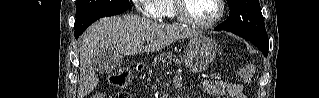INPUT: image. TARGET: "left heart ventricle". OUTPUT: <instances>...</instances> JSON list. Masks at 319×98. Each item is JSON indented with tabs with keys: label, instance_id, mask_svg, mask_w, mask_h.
I'll return each instance as SVG.
<instances>
[{
	"label": "left heart ventricle",
	"instance_id": "b2bd125f",
	"mask_svg": "<svg viewBox=\"0 0 319 98\" xmlns=\"http://www.w3.org/2000/svg\"><path fill=\"white\" fill-rule=\"evenodd\" d=\"M184 12L192 19L208 21L218 12L216 0H185Z\"/></svg>",
	"mask_w": 319,
	"mask_h": 98
}]
</instances>
